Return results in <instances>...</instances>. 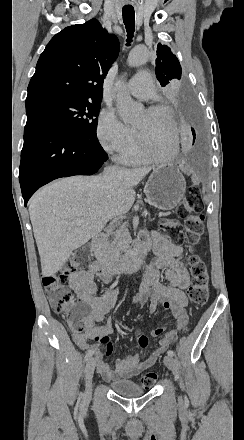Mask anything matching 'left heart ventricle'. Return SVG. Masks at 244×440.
Masks as SVG:
<instances>
[{
	"label": "left heart ventricle",
	"mask_w": 244,
	"mask_h": 440,
	"mask_svg": "<svg viewBox=\"0 0 244 440\" xmlns=\"http://www.w3.org/2000/svg\"><path fill=\"white\" fill-rule=\"evenodd\" d=\"M168 111L143 110L134 123V127L144 133V142L147 146L164 148V155L169 149V117Z\"/></svg>",
	"instance_id": "b2bd125f"
}]
</instances>
